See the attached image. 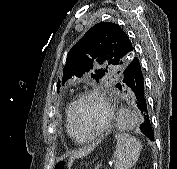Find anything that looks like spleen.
Segmentation results:
<instances>
[{"label":"spleen","mask_w":177,"mask_h":169,"mask_svg":"<svg viewBox=\"0 0 177 169\" xmlns=\"http://www.w3.org/2000/svg\"><path fill=\"white\" fill-rule=\"evenodd\" d=\"M117 140L114 157L115 169H130L138 160L142 149L141 142L129 134H116Z\"/></svg>","instance_id":"obj_1"}]
</instances>
